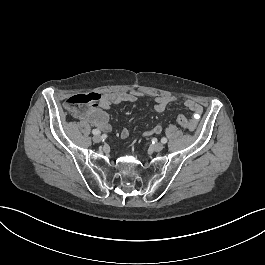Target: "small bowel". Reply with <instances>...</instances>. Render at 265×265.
<instances>
[{"instance_id":"1","label":"small bowel","mask_w":265,"mask_h":265,"mask_svg":"<svg viewBox=\"0 0 265 265\" xmlns=\"http://www.w3.org/2000/svg\"><path fill=\"white\" fill-rule=\"evenodd\" d=\"M141 96L143 95L138 92L115 91L105 93L97 103L76 112L75 116L82 122L90 123L91 125L101 129H107V111L113 105L120 103H133ZM154 100V110L157 113H162L169 104L179 101L177 97L169 95H158ZM182 104L192 112V114L187 117L191 122V125L188 127V129L194 130L197 127L200 117L203 113V107L199 102L190 98L183 99ZM161 131V125H156L151 130V132L155 134H159ZM120 137L122 139H127L129 137V131L127 128H123L120 131Z\"/></svg>"}]
</instances>
